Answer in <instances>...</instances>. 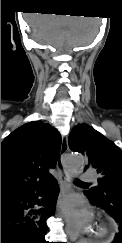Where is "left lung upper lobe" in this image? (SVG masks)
<instances>
[{
    "mask_svg": "<svg viewBox=\"0 0 122 243\" xmlns=\"http://www.w3.org/2000/svg\"><path fill=\"white\" fill-rule=\"evenodd\" d=\"M69 147L72 151L84 154L92 167L101 175L98 186L90 188L85 193L97 200L106 202L111 209L109 213L117 223H122L121 201L110 196L108 184L122 181V151L112 141L86 124H79L69 135ZM87 168V167H86Z\"/></svg>",
    "mask_w": 122,
    "mask_h": 243,
    "instance_id": "obj_1",
    "label": "left lung upper lobe"
}]
</instances>
